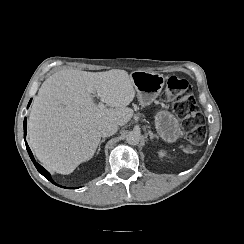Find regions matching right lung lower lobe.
<instances>
[{"instance_id": "1", "label": "right lung lower lobe", "mask_w": 244, "mask_h": 244, "mask_svg": "<svg viewBox=\"0 0 244 244\" xmlns=\"http://www.w3.org/2000/svg\"><path fill=\"white\" fill-rule=\"evenodd\" d=\"M30 103H31V100L29 101L28 106L30 105ZM26 125H27V119L25 118V119H24V139H25V137H26ZM25 144H26V148H27V151H28V153H29V156H30L31 160L33 161V163H34L35 167L37 168V170H38L44 177H46L50 182H52L53 184H55V185H57V186H60V185L56 184V183L51 179V176H50L49 172H48L47 170H45L40 164H38V163L35 161V159H34V157H33V154H32V152H31V150H30V148H29V146H28L26 140H25ZM60 187H62V186H60Z\"/></svg>"}]
</instances>
